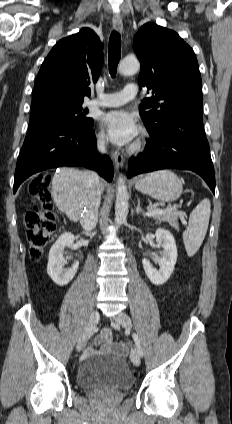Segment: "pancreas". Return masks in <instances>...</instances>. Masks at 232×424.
Wrapping results in <instances>:
<instances>
[{
    "instance_id": "cf45deb5",
    "label": "pancreas",
    "mask_w": 232,
    "mask_h": 424,
    "mask_svg": "<svg viewBox=\"0 0 232 424\" xmlns=\"http://www.w3.org/2000/svg\"><path fill=\"white\" fill-rule=\"evenodd\" d=\"M149 210H154V208L150 207ZM178 217H180V214L177 212H165L153 216V218L159 222H168L176 230H178Z\"/></svg>"
}]
</instances>
